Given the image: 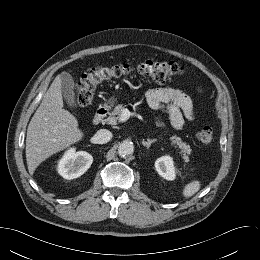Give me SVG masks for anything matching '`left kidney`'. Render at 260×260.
Returning a JSON list of instances; mask_svg holds the SVG:
<instances>
[{"label":"left kidney","instance_id":"left-kidney-1","mask_svg":"<svg viewBox=\"0 0 260 260\" xmlns=\"http://www.w3.org/2000/svg\"><path fill=\"white\" fill-rule=\"evenodd\" d=\"M156 171L166 180L175 179V167L170 156H162L155 161Z\"/></svg>","mask_w":260,"mask_h":260}]
</instances>
